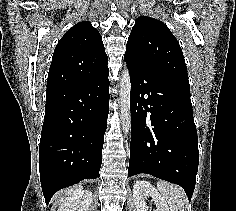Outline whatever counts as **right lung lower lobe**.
Returning <instances> with one entry per match:
<instances>
[{
  "label": "right lung lower lobe",
  "instance_id": "1",
  "mask_svg": "<svg viewBox=\"0 0 236 211\" xmlns=\"http://www.w3.org/2000/svg\"><path fill=\"white\" fill-rule=\"evenodd\" d=\"M108 74L46 93L39 164L47 204L62 188L99 178L109 113Z\"/></svg>",
  "mask_w": 236,
  "mask_h": 211
}]
</instances>
